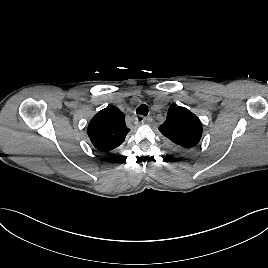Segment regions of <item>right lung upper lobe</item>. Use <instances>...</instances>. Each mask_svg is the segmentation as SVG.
<instances>
[{
    "mask_svg": "<svg viewBox=\"0 0 268 268\" xmlns=\"http://www.w3.org/2000/svg\"><path fill=\"white\" fill-rule=\"evenodd\" d=\"M129 131L124 113L113 105L99 111L87 128L92 144L102 152H109L120 146Z\"/></svg>",
    "mask_w": 268,
    "mask_h": 268,
    "instance_id": "1",
    "label": "right lung upper lobe"
}]
</instances>
